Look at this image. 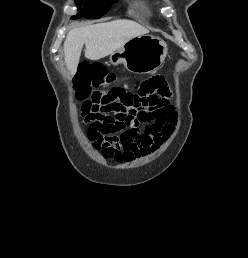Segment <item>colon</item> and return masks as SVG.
<instances>
[{
    "label": "colon",
    "instance_id": "5ec220e1",
    "mask_svg": "<svg viewBox=\"0 0 248 258\" xmlns=\"http://www.w3.org/2000/svg\"><path fill=\"white\" fill-rule=\"evenodd\" d=\"M103 72L100 66L84 63L75 89L77 98L83 101V113L91 139L95 138L94 134L101 136L123 129L132 116L129 111H122L115 97L109 94L110 91L102 93L96 90L100 85L107 88L114 81L112 77L104 76Z\"/></svg>",
    "mask_w": 248,
    "mask_h": 258
}]
</instances>
